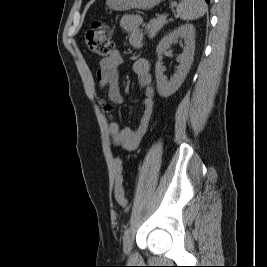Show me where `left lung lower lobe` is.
I'll return each instance as SVG.
<instances>
[{
    "label": "left lung lower lobe",
    "mask_w": 267,
    "mask_h": 267,
    "mask_svg": "<svg viewBox=\"0 0 267 267\" xmlns=\"http://www.w3.org/2000/svg\"><path fill=\"white\" fill-rule=\"evenodd\" d=\"M207 3H210V0H205Z\"/></svg>",
    "instance_id": "obj_1"
}]
</instances>
